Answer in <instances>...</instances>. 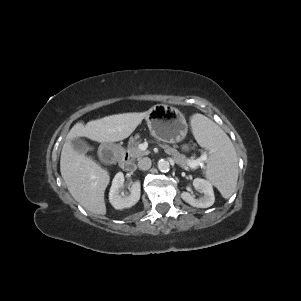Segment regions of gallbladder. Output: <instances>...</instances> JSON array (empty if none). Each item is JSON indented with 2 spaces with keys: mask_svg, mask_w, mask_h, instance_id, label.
Returning a JSON list of instances; mask_svg holds the SVG:
<instances>
[{
  "mask_svg": "<svg viewBox=\"0 0 301 301\" xmlns=\"http://www.w3.org/2000/svg\"><path fill=\"white\" fill-rule=\"evenodd\" d=\"M71 145L73 149L79 154L85 155L89 150L87 143L80 138H73L71 140Z\"/></svg>",
  "mask_w": 301,
  "mask_h": 301,
  "instance_id": "gallbladder-1",
  "label": "gallbladder"
}]
</instances>
